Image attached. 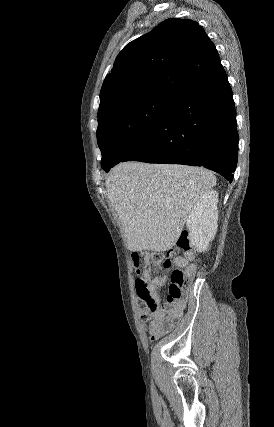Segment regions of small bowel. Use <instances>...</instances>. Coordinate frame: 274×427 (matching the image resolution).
Instances as JSON below:
<instances>
[{
	"mask_svg": "<svg viewBox=\"0 0 274 427\" xmlns=\"http://www.w3.org/2000/svg\"><path fill=\"white\" fill-rule=\"evenodd\" d=\"M195 255L193 252H184L182 255L173 258V263L176 267L184 269V271L191 276L196 273V266L193 263ZM151 269H145L141 275L143 281L146 282L147 289L151 297L158 304L157 289L166 281V276L153 277L154 272ZM184 311V303L182 301L174 302L169 308L162 309L158 305V309L152 314L151 322L149 325V332L151 338L158 339L168 333L175 325L176 320L181 318Z\"/></svg>",
	"mask_w": 274,
	"mask_h": 427,
	"instance_id": "obj_1",
	"label": "small bowel"
}]
</instances>
